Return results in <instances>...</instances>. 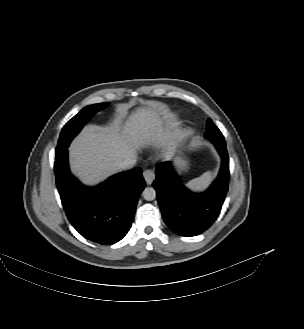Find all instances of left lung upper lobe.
I'll return each mask as SVG.
<instances>
[{"instance_id": "left-lung-upper-lobe-1", "label": "left lung upper lobe", "mask_w": 304, "mask_h": 329, "mask_svg": "<svg viewBox=\"0 0 304 329\" xmlns=\"http://www.w3.org/2000/svg\"><path fill=\"white\" fill-rule=\"evenodd\" d=\"M212 125H213L212 120H211V119H208V123H207V131H208V130H211Z\"/></svg>"}]
</instances>
